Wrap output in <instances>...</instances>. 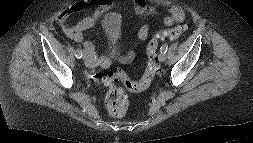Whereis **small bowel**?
<instances>
[{
    "mask_svg": "<svg viewBox=\"0 0 253 143\" xmlns=\"http://www.w3.org/2000/svg\"><path fill=\"white\" fill-rule=\"evenodd\" d=\"M113 0H81L76 2L63 10L56 18L57 25L61 28L62 32L71 40L75 42H83L85 49H88L91 54L94 46L90 41H84V32L91 29L96 19L102 14L111 9ZM87 7H93L94 12L92 15L87 16L74 25H66V20L69 16L77 14L85 10ZM134 9L139 15H156L159 10L147 3L146 0H134ZM167 15L164 17V24L167 27L173 26L175 23H180L185 19V13L179 6H168L166 8ZM150 28L147 24L142 25L137 34L138 41H145L149 37ZM95 58L92 57L88 61V65H95Z\"/></svg>",
    "mask_w": 253,
    "mask_h": 143,
    "instance_id": "1",
    "label": "small bowel"
}]
</instances>
